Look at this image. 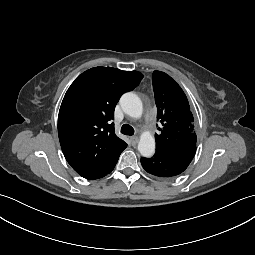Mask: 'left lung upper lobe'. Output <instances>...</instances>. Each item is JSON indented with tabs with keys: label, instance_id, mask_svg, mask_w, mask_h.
I'll use <instances>...</instances> for the list:
<instances>
[{
	"label": "left lung upper lobe",
	"instance_id": "left-lung-upper-lobe-1",
	"mask_svg": "<svg viewBox=\"0 0 255 255\" xmlns=\"http://www.w3.org/2000/svg\"><path fill=\"white\" fill-rule=\"evenodd\" d=\"M157 119L162 128L155 134L156 151L196 147L194 118L187 97L178 83L164 72L152 76Z\"/></svg>",
	"mask_w": 255,
	"mask_h": 255
}]
</instances>
